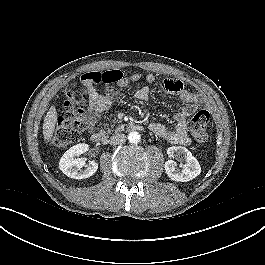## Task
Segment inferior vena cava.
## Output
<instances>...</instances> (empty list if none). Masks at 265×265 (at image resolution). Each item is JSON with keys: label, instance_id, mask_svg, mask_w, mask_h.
Here are the masks:
<instances>
[{"label": "inferior vena cava", "instance_id": "inferior-vena-cava-1", "mask_svg": "<svg viewBox=\"0 0 265 265\" xmlns=\"http://www.w3.org/2000/svg\"><path fill=\"white\" fill-rule=\"evenodd\" d=\"M125 141H126L125 134H119V133H117V134L111 136V138H110V144L111 145L123 144V143H125Z\"/></svg>", "mask_w": 265, "mask_h": 265}]
</instances>
